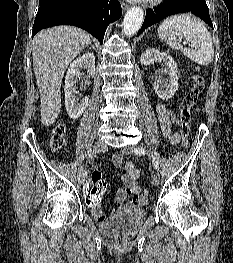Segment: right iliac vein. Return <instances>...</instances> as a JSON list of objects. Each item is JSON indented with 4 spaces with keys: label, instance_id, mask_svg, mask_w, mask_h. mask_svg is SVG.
<instances>
[{
    "label": "right iliac vein",
    "instance_id": "obj_1",
    "mask_svg": "<svg viewBox=\"0 0 233 263\" xmlns=\"http://www.w3.org/2000/svg\"><path fill=\"white\" fill-rule=\"evenodd\" d=\"M107 145L104 141L99 140L95 143L94 147H93V152L94 153H99V152H103L104 150H106ZM85 178H86V172L84 170L83 167H81L78 171V182L79 184L83 185L85 182Z\"/></svg>",
    "mask_w": 233,
    "mask_h": 263
}]
</instances>
